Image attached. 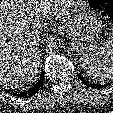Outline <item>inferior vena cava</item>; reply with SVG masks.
<instances>
[{"mask_svg": "<svg viewBox=\"0 0 113 113\" xmlns=\"http://www.w3.org/2000/svg\"><path fill=\"white\" fill-rule=\"evenodd\" d=\"M39 25H40V26H38V29L43 27V25H42V24H39ZM37 31H38V30H37Z\"/></svg>", "mask_w": 113, "mask_h": 113, "instance_id": "1", "label": "inferior vena cava"}]
</instances>
